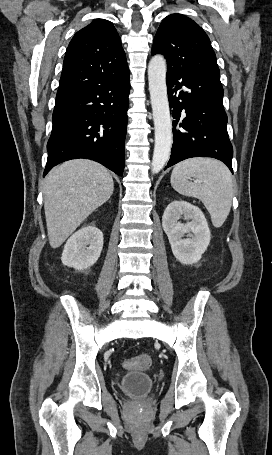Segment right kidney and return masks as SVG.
<instances>
[{"label": "right kidney", "instance_id": "obj_1", "mask_svg": "<svg viewBox=\"0 0 272 455\" xmlns=\"http://www.w3.org/2000/svg\"><path fill=\"white\" fill-rule=\"evenodd\" d=\"M103 248V234L93 225L75 232L66 242L62 253V263L77 270L93 266Z\"/></svg>", "mask_w": 272, "mask_h": 455}]
</instances>
